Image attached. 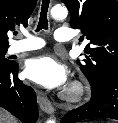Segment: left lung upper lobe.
Segmentation results:
<instances>
[{
    "mask_svg": "<svg viewBox=\"0 0 118 123\" xmlns=\"http://www.w3.org/2000/svg\"><path fill=\"white\" fill-rule=\"evenodd\" d=\"M71 13L70 24L86 38L85 59L77 61L91 85L118 71V1L62 0ZM88 55V56H87Z\"/></svg>",
    "mask_w": 118,
    "mask_h": 123,
    "instance_id": "obj_1",
    "label": "left lung upper lobe"
}]
</instances>
